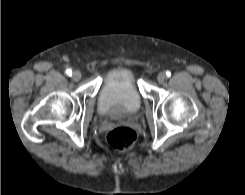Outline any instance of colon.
I'll return each instance as SVG.
<instances>
[{"label": "colon", "mask_w": 245, "mask_h": 195, "mask_svg": "<svg viewBox=\"0 0 245 195\" xmlns=\"http://www.w3.org/2000/svg\"><path fill=\"white\" fill-rule=\"evenodd\" d=\"M107 141L111 146L120 150H130L135 143L136 134L128 127H117L107 133Z\"/></svg>", "instance_id": "obj_1"}]
</instances>
